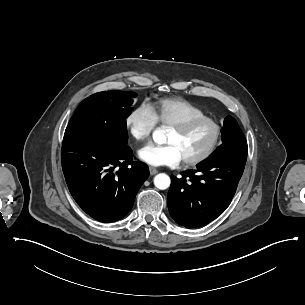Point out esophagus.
<instances>
[{
	"label": "esophagus",
	"instance_id": "obj_1",
	"mask_svg": "<svg viewBox=\"0 0 305 305\" xmlns=\"http://www.w3.org/2000/svg\"><path fill=\"white\" fill-rule=\"evenodd\" d=\"M149 172L150 175H155L156 173H158V171L156 170V168L149 166Z\"/></svg>",
	"mask_w": 305,
	"mask_h": 305
}]
</instances>
